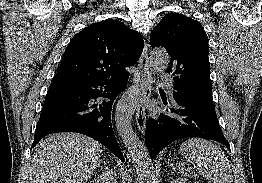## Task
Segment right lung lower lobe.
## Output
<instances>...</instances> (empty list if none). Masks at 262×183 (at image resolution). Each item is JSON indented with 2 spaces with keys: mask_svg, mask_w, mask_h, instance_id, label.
I'll list each match as a JSON object with an SVG mask.
<instances>
[{
  "mask_svg": "<svg viewBox=\"0 0 262 183\" xmlns=\"http://www.w3.org/2000/svg\"><path fill=\"white\" fill-rule=\"evenodd\" d=\"M128 77L126 72L117 77L50 85L31 148L48 134L77 132L96 139L124 161L112 129L111 107Z\"/></svg>",
  "mask_w": 262,
  "mask_h": 183,
  "instance_id": "obj_1",
  "label": "right lung lower lobe"
}]
</instances>
